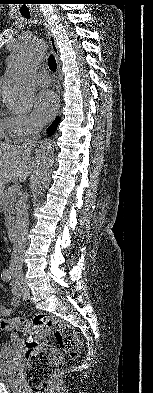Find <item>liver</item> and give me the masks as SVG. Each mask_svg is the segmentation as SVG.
<instances>
[{"instance_id":"liver-1","label":"liver","mask_w":153,"mask_h":393,"mask_svg":"<svg viewBox=\"0 0 153 393\" xmlns=\"http://www.w3.org/2000/svg\"><path fill=\"white\" fill-rule=\"evenodd\" d=\"M34 169L31 154L24 151L23 146L0 144V189L14 179L26 181Z\"/></svg>"}]
</instances>
